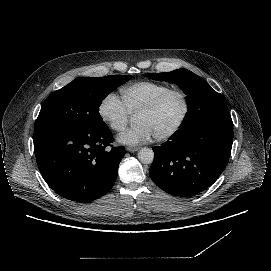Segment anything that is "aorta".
Listing matches in <instances>:
<instances>
[{"instance_id": "aorta-1", "label": "aorta", "mask_w": 271, "mask_h": 271, "mask_svg": "<svg viewBox=\"0 0 271 271\" xmlns=\"http://www.w3.org/2000/svg\"><path fill=\"white\" fill-rule=\"evenodd\" d=\"M138 159L143 164H151L154 159V152L151 148H142L138 152Z\"/></svg>"}]
</instances>
